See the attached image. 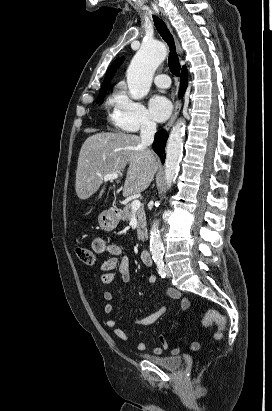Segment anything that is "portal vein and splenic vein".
<instances>
[{
	"mask_svg": "<svg viewBox=\"0 0 272 411\" xmlns=\"http://www.w3.org/2000/svg\"><path fill=\"white\" fill-rule=\"evenodd\" d=\"M119 177V175L117 173H110V174H106L103 179L104 181H109V180H114L117 179ZM140 201L135 199L131 202V208L132 210H138L140 208Z\"/></svg>",
	"mask_w": 272,
	"mask_h": 411,
	"instance_id": "1",
	"label": "portal vein and splenic vein"
}]
</instances>
